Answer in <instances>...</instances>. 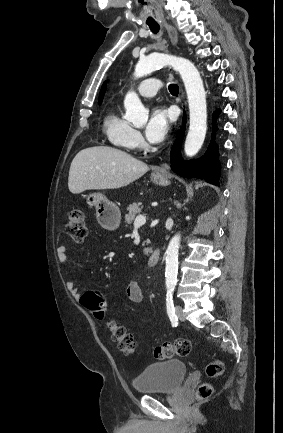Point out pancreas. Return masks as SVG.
<instances>
[{"instance_id":"obj_1","label":"pancreas","mask_w":283,"mask_h":433,"mask_svg":"<svg viewBox=\"0 0 283 433\" xmlns=\"http://www.w3.org/2000/svg\"><path fill=\"white\" fill-rule=\"evenodd\" d=\"M141 208H143L142 202H137V204L136 202H134V204H129V206H127L128 214H125L126 225H131V223H133L136 214H138V212H141ZM144 253L145 255H148V253H152L151 247H147V249H144Z\"/></svg>"}]
</instances>
